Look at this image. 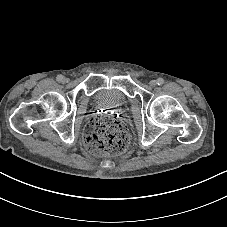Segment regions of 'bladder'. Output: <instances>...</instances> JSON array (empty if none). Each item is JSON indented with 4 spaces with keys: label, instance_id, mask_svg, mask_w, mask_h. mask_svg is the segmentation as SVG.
Segmentation results:
<instances>
[{
    "label": "bladder",
    "instance_id": "1",
    "mask_svg": "<svg viewBox=\"0 0 227 227\" xmlns=\"http://www.w3.org/2000/svg\"><path fill=\"white\" fill-rule=\"evenodd\" d=\"M92 100L102 108L114 110L130 106L132 99L121 86V80L114 86H101L92 95Z\"/></svg>",
    "mask_w": 227,
    "mask_h": 227
}]
</instances>
